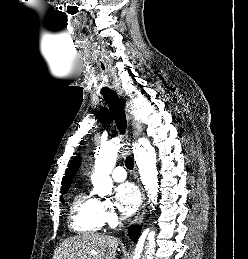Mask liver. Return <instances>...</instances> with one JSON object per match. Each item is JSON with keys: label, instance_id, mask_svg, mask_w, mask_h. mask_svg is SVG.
<instances>
[{"label": "liver", "instance_id": "liver-1", "mask_svg": "<svg viewBox=\"0 0 248 259\" xmlns=\"http://www.w3.org/2000/svg\"><path fill=\"white\" fill-rule=\"evenodd\" d=\"M118 244L114 236L85 233L64 240L53 259H116Z\"/></svg>", "mask_w": 248, "mask_h": 259}]
</instances>
